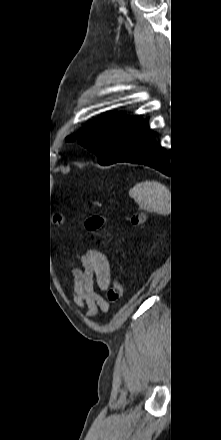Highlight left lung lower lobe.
<instances>
[{
	"label": "left lung lower lobe",
	"instance_id": "left-lung-lower-lobe-1",
	"mask_svg": "<svg viewBox=\"0 0 221 440\" xmlns=\"http://www.w3.org/2000/svg\"><path fill=\"white\" fill-rule=\"evenodd\" d=\"M148 119L136 128L123 156L116 162L143 164L155 168L171 177L175 174L172 157L155 141V133L147 129ZM115 162V163H116Z\"/></svg>",
	"mask_w": 221,
	"mask_h": 440
}]
</instances>
